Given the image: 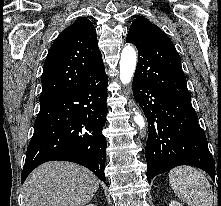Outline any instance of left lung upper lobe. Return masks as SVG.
Returning <instances> with one entry per match:
<instances>
[{
  "mask_svg": "<svg viewBox=\"0 0 221 206\" xmlns=\"http://www.w3.org/2000/svg\"><path fill=\"white\" fill-rule=\"evenodd\" d=\"M126 42L133 43L138 49L133 80L173 97L191 99L180 56L159 27L145 17H138L130 26Z\"/></svg>",
  "mask_w": 221,
  "mask_h": 206,
  "instance_id": "obj_1",
  "label": "left lung upper lobe"
}]
</instances>
